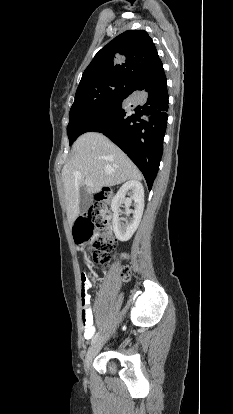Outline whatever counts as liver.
Instances as JSON below:
<instances>
[{
    "mask_svg": "<svg viewBox=\"0 0 233 414\" xmlns=\"http://www.w3.org/2000/svg\"><path fill=\"white\" fill-rule=\"evenodd\" d=\"M74 155L62 169L68 222L79 216L80 188L90 194L142 175L127 155L101 133L88 132L73 144Z\"/></svg>",
    "mask_w": 233,
    "mask_h": 414,
    "instance_id": "liver-1",
    "label": "liver"
}]
</instances>
